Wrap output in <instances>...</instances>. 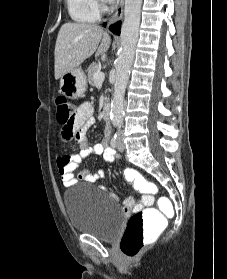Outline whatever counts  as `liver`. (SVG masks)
<instances>
[{"label": "liver", "mask_w": 227, "mask_h": 279, "mask_svg": "<svg viewBox=\"0 0 227 279\" xmlns=\"http://www.w3.org/2000/svg\"><path fill=\"white\" fill-rule=\"evenodd\" d=\"M110 43V36L98 25L72 22L63 24L55 44V79L78 68L94 53L99 57L109 49Z\"/></svg>", "instance_id": "liver-1"}]
</instances>
